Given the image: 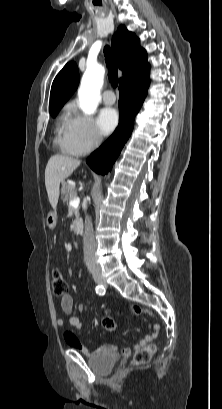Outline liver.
Segmentation results:
<instances>
[{
	"mask_svg": "<svg viewBox=\"0 0 222 409\" xmlns=\"http://www.w3.org/2000/svg\"><path fill=\"white\" fill-rule=\"evenodd\" d=\"M80 163V160L64 155H53L48 160L45 186L52 208L55 209L58 204L60 183L68 178Z\"/></svg>",
	"mask_w": 222,
	"mask_h": 409,
	"instance_id": "obj_1",
	"label": "liver"
}]
</instances>
